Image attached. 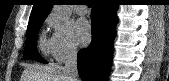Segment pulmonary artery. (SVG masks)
<instances>
[{
    "label": "pulmonary artery",
    "instance_id": "e3ab8cb5",
    "mask_svg": "<svg viewBox=\"0 0 169 81\" xmlns=\"http://www.w3.org/2000/svg\"><path fill=\"white\" fill-rule=\"evenodd\" d=\"M78 13L80 15H83V14H86L87 13V10L84 6H79L78 9H77Z\"/></svg>",
    "mask_w": 169,
    "mask_h": 81
}]
</instances>
